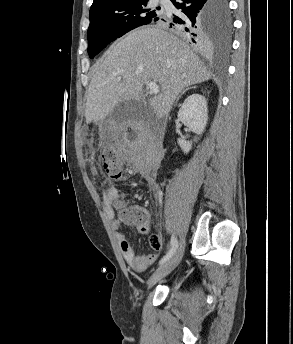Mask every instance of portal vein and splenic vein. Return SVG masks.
I'll list each match as a JSON object with an SVG mask.
<instances>
[{
  "label": "portal vein and splenic vein",
  "mask_w": 293,
  "mask_h": 344,
  "mask_svg": "<svg viewBox=\"0 0 293 344\" xmlns=\"http://www.w3.org/2000/svg\"><path fill=\"white\" fill-rule=\"evenodd\" d=\"M147 88H148L150 93L157 94V93L160 92L159 87L156 84V82H149L148 85H147Z\"/></svg>",
  "instance_id": "portal-vein-and-splenic-vein-1"
}]
</instances>
